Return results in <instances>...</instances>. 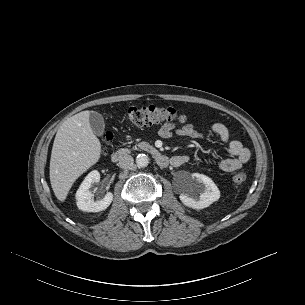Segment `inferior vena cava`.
<instances>
[{"label": "inferior vena cava", "mask_w": 305, "mask_h": 305, "mask_svg": "<svg viewBox=\"0 0 305 305\" xmlns=\"http://www.w3.org/2000/svg\"><path fill=\"white\" fill-rule=\"evenodd\" d=\"M118 165L122 169H132L134 165V159L130 155H124L119 160Z\"/></svg>", "instance_id": "602c4592"}]
</instances>
